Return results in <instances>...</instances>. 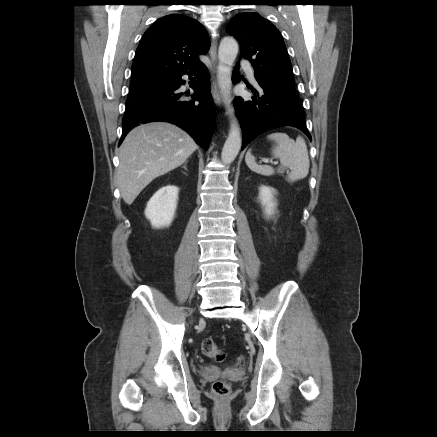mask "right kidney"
<instances>
[{
	"label": "right kidney",
	"instance_id": "1",
	"mask_svg": "<svg viewBox=\"0 0 437 437\" xmlns=\"http://www.w3.org/2000/svg\"><path fill=\"white\" fill-rule=\"evenodd\" d=\"M179 188L167 185L160 188L149 200L145 209V216L152 227H168L175 215Z\"/></svg>",
	"mask_w": 437,
	"mask_h": 437
}]
</instances>
